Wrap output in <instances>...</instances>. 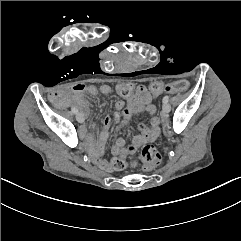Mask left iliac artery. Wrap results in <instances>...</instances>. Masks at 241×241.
Listing matches in <instances>:
<instances>
[{
	"instance_id": "44dca946",
	"label": "left iliac artery",
	"mask_w": 241,
	"mask_h": 241,
	"mask_svg": "<svg viewBox=\"0 0 241 241\" xmlns=\"http://www.w3.org/2000/svg\"><path fill=\"white\" fill-rule=\"evenodd\" d=\"M168 101H169V96L166 95V96L163 98V103L168 102Z\"/></svg>"
}]
</instances>
